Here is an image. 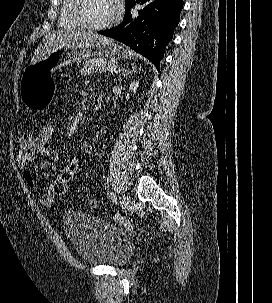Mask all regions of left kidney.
<instances>
[{
    "label": "left kidney",
    "mask_w": 272,
    "mask_h": 303,
    "mask_svg": "<svg viewBox=\"0 0 272 303\" xmlns=\"http://www.w3.org/2000/svg\"><path fill=\"white\" fill-rule=\"evenodd\" d=\"M139 86V82L138 81H133L130 83V87H129V90L133 91V93L135 94L136 91H137V88Z\"/></svg>",
    "instance_id": "1"
}]
</instances>
